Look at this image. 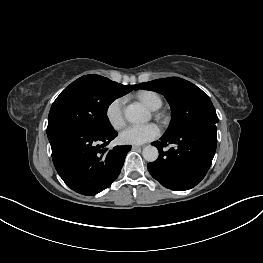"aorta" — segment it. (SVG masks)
Instances as JSON below:
<instances>
[{
  "mask_svg": "<svg viewBox=\"0 0 263 263\" xmlns=\"http://www.w3.org/2000/svg\"><path fill=\"white\" fill-rule=\"evenodd\" d=\"M125 118L132 123H145L150 120V113L140 103H132L124 110ZM143 158L148 162H154L158 158V149L155 146L148 145L143 148Z\"/></svg>",
  "mask_w": 263,
  "mask_h": 263,
  "instance_id": "obj_1",
  "label": "aorta"
}]
</instances>
